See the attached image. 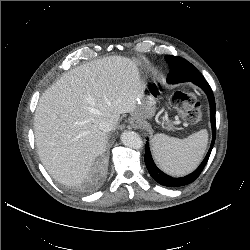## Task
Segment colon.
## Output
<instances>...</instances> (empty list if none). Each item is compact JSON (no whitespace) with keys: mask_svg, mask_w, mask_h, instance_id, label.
<instances>
[{"mask_svg":"<svg viewBox=\"0 0 250 250\" xmlns=\"http://www.w3.org/2000/svg\"><path fill=\"white\" fill-rule=\"evenodd\" d=\"M171 103L186 121L195 123L200 120L202 110L194 95L176 92L171 98Z\"/></svg>","mask_w":250,"mask_h":250,"instance_id":"1","label":"colon"}]
</instances>
